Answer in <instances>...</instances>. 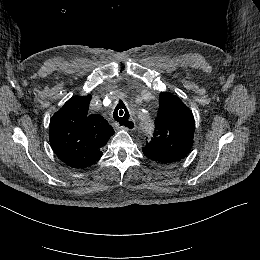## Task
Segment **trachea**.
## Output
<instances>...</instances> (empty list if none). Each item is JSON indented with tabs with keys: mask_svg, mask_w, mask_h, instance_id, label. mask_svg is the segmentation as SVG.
Instances as JSON below:
<instances>
[{
	"mask_svg": "<svg viewBox=\"0 0 260 260\" xmlns=\"http://www.w3.org/2000/svg\"><path fill=\"white\" fill-rule=\"evenodd\" d=\"M129 117L130 115L126 106L120 102L113 112L114 120L117 121L120 125H126V123L129 121Z\"/></svg>",
	"mask_w": 260,
	"mask_h": 260,
	"instance_id": "3493384b",
	"label": "trachea"
}]
</instances>
